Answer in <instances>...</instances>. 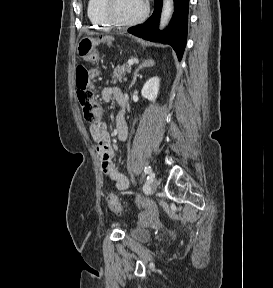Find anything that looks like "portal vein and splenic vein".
<instances>
[{"mask_svg": "<svg viewBox=\"0 0 273 288\" xmlns=\"http://www.w3.org/2000/svg\"><path fill=\"white\" fill-rule=\"evenodd\" d=\"M128 64L129 65H133L134 64V61L131 59V60H128Z\"/></svg>", "mask_w": 273, "mask_h": 288, "instance_id": "portal-vein-and-splenic-vein-1", "label": "portal vein and splenic vein"}]
</instances>
